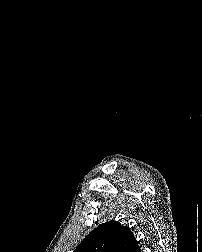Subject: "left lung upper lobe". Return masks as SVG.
Returning <instances> with one entry per match:
<instances>
[{
    "mask_svg": "<svg viewBox=\"0 0 202 252\" xmlns=\"http://www.w3.org/2000/svg\"><path fill=\"white\" fill-rule=\"evenodd\" d=\"M138 247V242L128 227L110 221L95 228L74 252H136Z\"/></svg>",
    "mask_w": 202,
    "mask_h": 252,
    "instance_id": "1",
    "label": "left lung upper lobe"
}]
</instances>
